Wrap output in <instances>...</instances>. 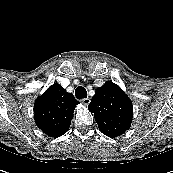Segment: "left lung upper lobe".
<instances>
[{
  "mask_svg": "<svg viewBox=\"0 0 173 173\" xmlns=\"http://www.w3.org/2000/svg\"><path fill=\"white\" fill-rule=\"evenodd\" d=\"M88 109L94 113L100 131L109 137L123 134L129 129L133 118L131 100L111 81L97 88Z\"/></svg>",
  "mask_w": 173,
  "mask_h": 173,
  "instance_id": "1",
  "label": "left lung upper lobe"
}]
</instances>
